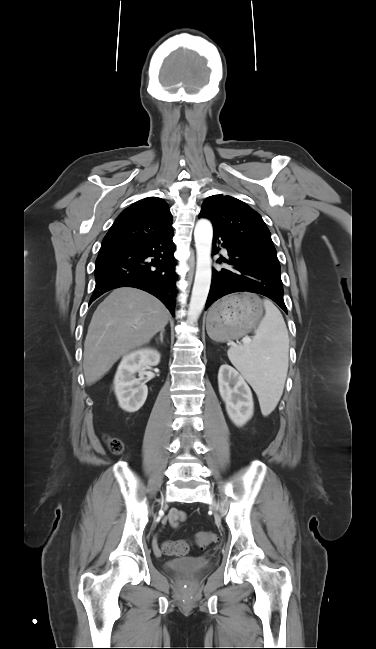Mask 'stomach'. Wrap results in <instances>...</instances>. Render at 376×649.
Segmentation results:
<instances>
[{"mask_svg":"<svg viewBox=\"0 0 376 649\" xmlns=\"http://www.w3.org/2000/svg\"><path fill=\"white\" fill-rule=\"evenodd\" d=\"M263 316L261 299L253 293L229 295L217 302L207 317V332L217 341L237 339L255 328Z\"/></svg>","mask_w":376,"mask_h":649,"instance_id":"0dacf381","label":"stomach"}]
</instances>
